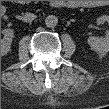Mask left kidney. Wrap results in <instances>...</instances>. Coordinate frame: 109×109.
Masks as SVG:
<instances>
[{"instance_id":"1","label":"left kidney","mask_w":109,"mask_h":109,"mask_svg":"<svg viewBox=\"0 0 109 109\" xmlns=\"http://www.w3.org/2000/svg\"><path fill=\"white\" fill-rule=\"evenodd\" d=\"M98 21L108 22L109 17L107 15H103L98 18ZM87 42L90 45L91 49L96 52L107 53L109 50V34H106L103 38L91 36L87 39Z\"/></svg>"}]
</instances>
